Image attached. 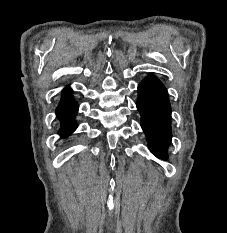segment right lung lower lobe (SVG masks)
I'll list each match as a JSON object with an SVG mask.
<instances>
[{"mask_svg": "<svg viewBox=\"0 0 227 233\" xmlns=\"http://www.w3.org/2000/svg\"><path fill=\"white\" fill-rule=\"evenodd\" d=\"M72 90L66 87L61 96V101L56 109L57 118L61 121L59 134L63 137L70 135L77 127L74 121L78 111V104L73 99Z\"/></svg>", "mask_w": 227, "mask_h": 233, "instance_id": "1", "label": "right lung lower lobe"}]
</instances>
